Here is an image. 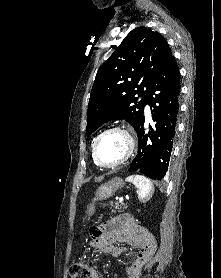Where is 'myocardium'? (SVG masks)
I'll use <instances>...</instances> for the list:
<instances>
[{"label": "myocardium", "mask_w": 221, "mask_h": 278, "mask_svg": "<svg viewBox=\"0 0 221 278\" xmlns=\"http://www.w3.org/2000/svg\"><path fill=\"white\" fill-rule=\"evenodd\" d=\"M110 132L121 133L126 138L127 151H126L125 156L117 163L111 164V165H105V164H102L98 159L97 145H98L99 140L104 135H106L107 133H110ZM134 149H135V140H134L133 136L131 135V133L128 130H126L125 128H122L119 126H114V127L105 129L95 138V140L92 144V157H93L95 164L98 165L99 167L104 168V169H116V168L122 166L123 164H125L131 158V156L133 155Z\"/></svg>", "instance_id": "1"}]
</instances>
